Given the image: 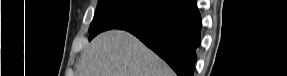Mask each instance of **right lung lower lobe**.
I'll use <instances>...</instances> for the list:
<instances>
[{
  "label": "right lung lower lobe",
  "mask_w": 287,
  "mask_h": 76,
  "mask_svg": "<svg viewBox=\"0 0 287 76\" xmlns=\"http://www.w3.org/2000/svg\"><path fill=\"white\" fill-rule=\"evenodd\" d=\"M200 30L195 0H177L148 24L127 31L163 58L178 76H193Z\"/></svg>",
  "instance_id": "1"
}]
</instances>
